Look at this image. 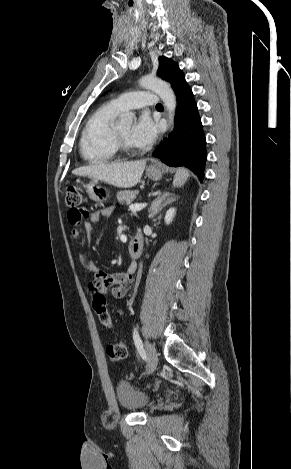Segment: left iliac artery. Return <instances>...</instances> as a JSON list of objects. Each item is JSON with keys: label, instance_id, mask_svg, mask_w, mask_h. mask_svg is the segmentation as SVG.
<instances>
[{"label": "left iliac artery", "instance_id": "left-iliac-artery-1", "mask_svg": "<svg viewBox=\"0 0 291 469\" xmlns=\"http://www.w3.org/2000/svg\"><path fill=\"white\" fill-rule=\"evenodd\" d=\"M133 340H134V343H135V345H136V348H137V350H138L140 356H141L144 360H146V352H145V350H144V348H143L142 340H141V338H140V336H139V334H138L136 328H134V331H133Z\"/></svg>", "mask_w": 291, "mask_h": 469}]
</instances>
